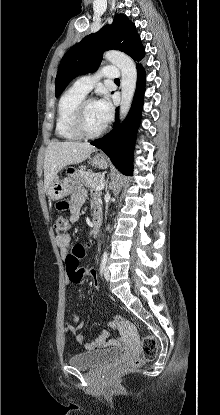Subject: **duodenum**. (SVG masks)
I'll use <instances>...</instances> for the list:
<instances>
[{
	"label": "duodenum",
	"instance_id": "obj_1",
	"mask_svg": "<svg viewBox=\"0 0 220 415\" xmlns=\"http://www.w3.org/2000/svg\"><path fill=\"white\" fill-rule=\"evenodd\" d=\"M101 224H102V213L99 212L94 216V220H93V235L94 236L98 235Z\"/></svg>",
	"mask_w": 220,
	"mask_h": 415
}]
</instances>
